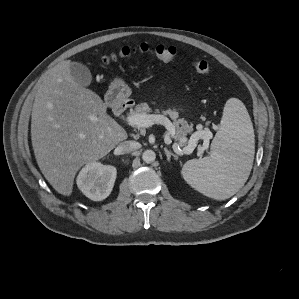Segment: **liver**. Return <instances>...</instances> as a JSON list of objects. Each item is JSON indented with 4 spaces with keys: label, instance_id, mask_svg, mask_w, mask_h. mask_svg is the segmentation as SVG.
<instances>
[{
    "label": "liver",
    "instance_id": "obj_1",
    "mask_svg": "<svg viewBox=\"0 0 299 299\" xmlns=\"http://www.w3.org/2000/svg\"><path fill=\"white\" fill-rule=\"evenodd\" d=\"M70 60L58 63L35 96L31 140L37 164L50 185L70 196L77 171L106 156L127 133L107 115V105L77 84Z\"/></svg>",
    "mask_w": 299,
    "mask_h": 299
}]
</instances>
